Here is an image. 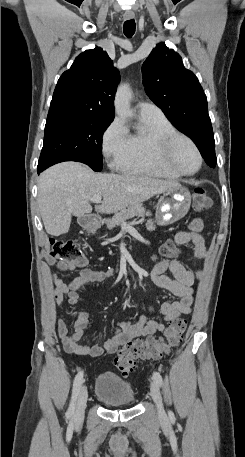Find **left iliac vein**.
Wrapping results in <instances>:
<instances>
[{
	"label": "left iliac vein",
	"mask_w": 245,
	"mask_h": 457,
	"mask_svg": "<svg viewBox=\"0 0 245 457\" xmlns=\"http://www.w3.org/2000/svg\"><path fill=\"white\" fill-rule=\"evenodd\" d=\"M151 396H152L153 401L156 404L159 418L165 419L166 413H165V410L163 407L161 393L159 390V386L155 381H152V383H151Z\"/></svg>",
	"instance_id": "obj_1"
}]
</instances>
